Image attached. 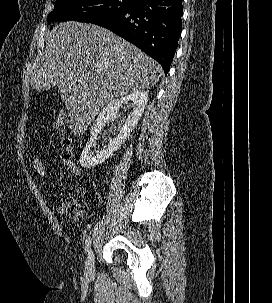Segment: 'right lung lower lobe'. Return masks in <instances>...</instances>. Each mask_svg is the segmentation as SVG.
<instances>
[{"instance_id": "obj_1", "label": "right lung lower lobe", "mask_w": 272, "mask_h": 303, "mask_svg": "<svg viewBox=\"0 0 272 303\" xmlns=\"http://www.w3.org/2000/svg\"><path fill=\"white\" fill-rule=\"evenodd\" d=\"M182 0H135L125 11L92 22L133 43L168 73L182 31Z\"/></svg>"}]
</instances>
